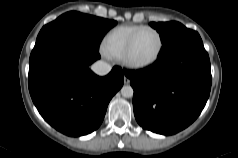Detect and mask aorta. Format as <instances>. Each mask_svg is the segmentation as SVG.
Here are the masks:
<instances>
[{"mask_svg":"<svg viewBox=\"0 0 238 158\" xmlns=\"http://www.w3.org/2000/svg\"><path fill=\"white\" fill-rule=\"evenodd\" d=\"M121 94L125 98H130L133 96V88L130 85L123 86L121 88Z\"/></svg>","mask_w":238,"mask_h":158,"instance_id":"762f6f07","label":"aorta"}]
</instances>
